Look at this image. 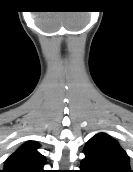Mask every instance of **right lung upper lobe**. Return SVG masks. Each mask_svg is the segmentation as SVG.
<instances>
[{
    "label": "right lung upper lobe",
    "instance_id": "1",
    "mask_svg": "<svg viewBox=\"0 0 133 172\" xmlns=\"http://www.w3.org/2000/svg\"><path fill=\"white\" fill-rule=\"evenodd\" d=\"M39 144L27 141L5 161L0 172H44L45 157L37 152Z\"/></svg>",
    "mask_w": 133,
    "mask_h": 172
}]
</instances>
